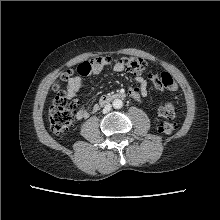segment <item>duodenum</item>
I'll list each match as a JSON object with an SVG mask.
<instances>
[{"mask_svg": "<svg viewBox=\"0 0 220 220\" xmlns=\"http://www.w3.org/2000/svg\"><path fill=\"white\" fill-rule=\"evenodd\" d=\"M126 97V94L124 92H117L114 94H108L101 98L98 108L105 106L106 104H109L110 102L117 100V99H124Z\"/></svg>", "mask_w": 220, "mask_h": 220, "instance_id": "duodenum-1", "label": "duodenum"}]
</instances>
